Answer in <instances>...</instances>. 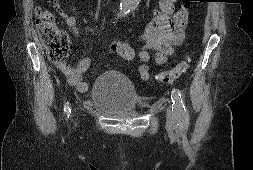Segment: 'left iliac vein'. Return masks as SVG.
<instances>
[{"instance_id":"obj_1","label":"left iliac vein","mask_w":253,"mask_h":170,"mask_svg":"<svg viewBox=\"0 0 253 170\" xmlns=\"http://www.w3.org/2000/svg\"><path fill=\"white\" fill-rule=\"evenodd\" d=\"M167 124L171 127L176 125L174 113L170 107L167 109Z\"/></svg>"}]
</instances>
